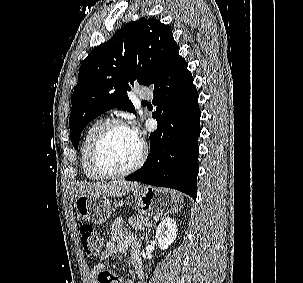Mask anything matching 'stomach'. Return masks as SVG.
Masks as SVG:
<instances>
[{
    "mask_svg": "<svg viewBox=\"0 0 303 283\" xmlns=\"http://www.w3.org/2000/svg\"><path fill=\"white\" fill-rule=\"evenodd\" d=\"M137 209L143 215L165 216L178 212L183 206L182 196L173 190L143 187L134 190ZM78 216L87 222L102 224L113 213L109 199L105 196L80 195L75 200Z\"/></svg>",
    "mask_w": 303,
    "mask_h": 283,
    "instance_id": "0dacf381",
    "label": "stomach"
}]
</instances>
